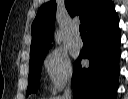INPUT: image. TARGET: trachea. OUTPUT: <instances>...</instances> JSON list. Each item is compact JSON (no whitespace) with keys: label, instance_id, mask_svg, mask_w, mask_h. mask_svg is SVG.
I'll list each match as a JSON object with an SVG mask.
<instances>
[{"label":"trachea","instance_id":"obj_1","mask_svg":"<svg viewBox=\"0 0 128 99\" xmlns=\"http://www.w3.org/2000/svg\"><path fill=\"white\" fill-rule=\"evenodd\" d=\"M79 31H80L81 37H87L86 28L84 24H81L79 26Z\"/></svg>","mask_w":128,"mask_h":99}]
</instances>
